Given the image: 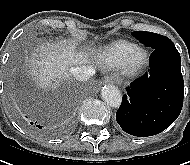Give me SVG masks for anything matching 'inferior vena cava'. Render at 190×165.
<instances>
[{"label": "inferior vena cava", "mask_w": 190, "mask_h": 165, "mask_svg": "<svg viewBox=\"0 0 190 165\" xmlns=\"http://www.w3.org/2000/svg\"><path fill=\"white\" fill-rule=\"evenodd\" d=\"M70 72L79 81H87L94 74L93 68L86 66L72 67Z\"/></svg>", "instance_id": "602c4592"}]
</instances>
